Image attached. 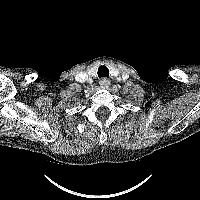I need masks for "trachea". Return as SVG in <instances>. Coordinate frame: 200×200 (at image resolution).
Wrapping results in <instances>:
<instances>
[{
  "mask_svg": "<svg viewBox=\"0 0 200 200\" xmlns=\"http://www.w3.org/2000/svg\"><path fill=\"white\" fill-rule=\"evenodd\" d=\"M98 77L101 78V77H108L109 76V70L106 66L102 65L98 68Z\"/></svg>",
  "mask_w": 200,
  "mask_h": 200,
  "instance_id": "trachea-1",
  "label": "trachea"
}]
</instances>
